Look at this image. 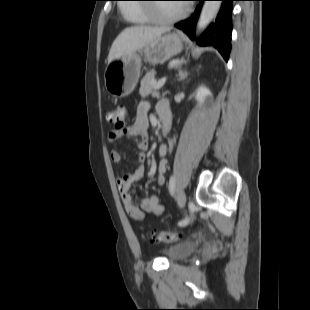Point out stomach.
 Returning <instances> with one entry per match:
<instances>
[{
    "instance_id": "stomach-1",
    "label": "stomach",
    "mask_w": 310,
    "mask_h": 310,
    "mask_svg": "<svg viewBox=\"0 0 310 310\" xmlns=\"http://www.w3.org/2000/svg\"><path fill=\"white\" fill-rule=\"evenodd\" d=\"M183 43L178 33L155 38L142 49L126 58H115L107 64L104 73L105 87L114 97H125L133 92L140 76L141 62L162 64L182 51Z\"/></svg>"
}]
</instances>
